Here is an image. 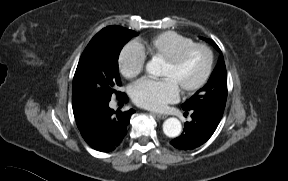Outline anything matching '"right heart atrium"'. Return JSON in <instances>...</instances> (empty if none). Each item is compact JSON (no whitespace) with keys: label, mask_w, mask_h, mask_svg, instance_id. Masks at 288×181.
<instances>
[{"label":"right heart atrium","mask_w":288,"mask_h":181,"mask_svg":"<svg viewBox=\"0 0 288 181\" xmlns=\"http://www.w3.org/2000/svg\"><path fill=\"white\" fill-rule=\"evenodd\" d=\"M146 56L134 43L124 46L117 59L119 72L127 79L136 78L144 69Z\"/></svg>","instance_id":"right-heart-atrium-1"}]
</instances>
